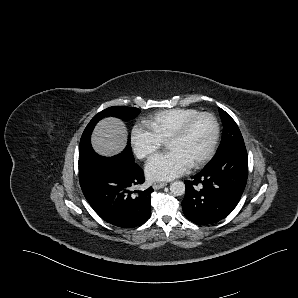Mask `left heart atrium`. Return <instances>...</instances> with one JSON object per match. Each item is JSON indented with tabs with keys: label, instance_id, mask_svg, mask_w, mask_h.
Listing matches in <instances>:
<instances>
[{
	"label": "left heart atrium",
	"instance_id": "left-heart-atrium-1",
	"mask_svg": "<svg viewBox=\"0 0 298 298\" xmlns=\"http://www.w3.org/2000/svg\"><path fill=\"white\" fill-rule=\"evenodd\" d=\"M188 168L178 153L168 150L153 155L145 166V172L153 180L165 181L182 175Z\"/></svg>",
	"mask_w": 298,
	"mask_h": 298
}]
</instances>
